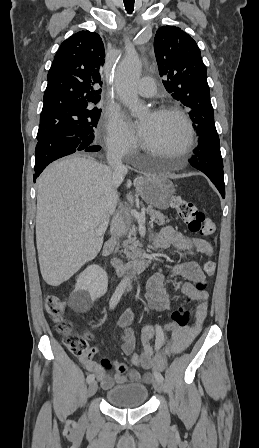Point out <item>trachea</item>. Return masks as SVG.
<instances>
[{"mask_svg":"<svg viewBox=\"0 0 259 448\" xmlns=\"http://www.w3.org/2000/svg\"><path fill=\"white\" fill-rule=\"evenodd\" d=\"M135 0H124V5L128 13L133 12Z\"/></svg>","mask_w":259,"mask_h":448,"instance_id":"3493384b","label":"trachea"}]
</instances>
